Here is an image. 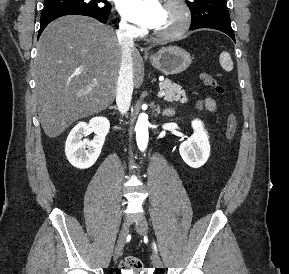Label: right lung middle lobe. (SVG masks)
I'll return each mask as SVG.
<instances>
[{"instance_id":"right-lung-middle-lobe-1","label":"right lung middle lobe","mask_w":289,"mask_h":274,"mask_svg":"<svg viewBox=\"0 0 289 274\" xmlns=\"http://www.w3.org/2000/svg\"><path fill=\"white\" fill-rule=\"evenodd\" d=\"M64 10H80L97 15H109L111 5L106 0H44L41 15Z\"/></svg>"}]
</instances>
